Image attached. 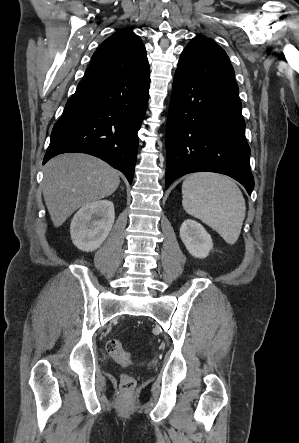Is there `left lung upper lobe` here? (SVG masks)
I'll return each mask as SVG.
<instances>
[{"mask_svg":"<svg viewBox=\"0 0 299 443\" xmlns=\"http://www.w3.org/2000/svg\"><path fill=\"white\" fill-rule=\"evenodd\" d=\"M177 69L238 94L234 70L226 52L212 40L197 35L181 53Z\"/></svg>","mask_w":299,"mask_h":443,"instance_id":"left-lung-upper-lobe-1","label":"left lung upper lobe"}]
</instances>
